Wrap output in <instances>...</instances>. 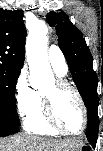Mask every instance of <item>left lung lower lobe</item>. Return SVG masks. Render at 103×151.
<instances>
[{
	"instance_id": "0a47b994",
	"label": "left lung lower lobe",
	"mask_w": 103,
	"mask_h": 151,
	"mask_svg": "<svg viewBox=\"0 0 103 151\" xmlns=\"http://www.w3.org/2000/svg\"><path fill=\"white\" fill-rule=\"evenodd\" d=\"M98 104L99 98L96 96L94 100L91 101L89 108H87V138L89 143L95 148L98 136L99 118H98Z\"/></svg>"
}]
</instances>
